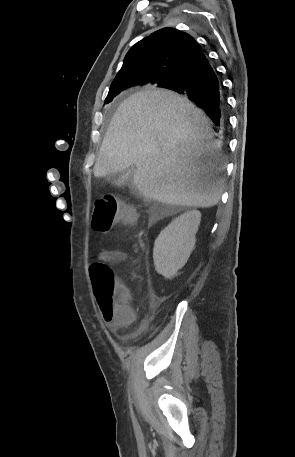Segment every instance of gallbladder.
Returning <instances> with one entry per match:
<instances>
[{"mask_svg": "<svg viewBox=\"0 0 295 457\" xmlns=\"http://www.w3.org/2000/svg\"><path fill=\"white\" fill-rule=\"evenodd\" d=\"M135 167H130L126 172H120L109 176V180L116 186H123L125 184L131 185Z\"/></svg>", "mask_w": 295, "mask_h": 457, "instance_id": "1", "label": "gallbladder"}]
</instances>
